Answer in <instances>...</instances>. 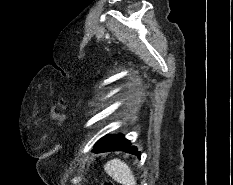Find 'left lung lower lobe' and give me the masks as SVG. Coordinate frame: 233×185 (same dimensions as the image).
I'll return each mask as SVG.
<instances>
[{"label":"left lung lower lobe","mask_w":233,"mask_h":185,"mask_svg":"<svg viewBox=\"0 0 233 185\" xmlns=\"http://www.w3.org/2000/svg\"><path fill=\"white\" fill-rule=\"evenodd\" d=\"M124 151L140 157L136 146H130V142L122 134L110 135L99 140L94 152Z\"/></svg>","instance_id":"left-lung-lower-lobe-1"}]
</instances>
